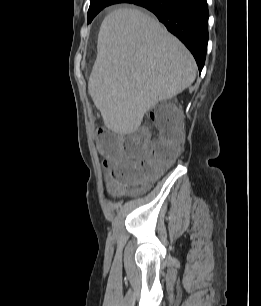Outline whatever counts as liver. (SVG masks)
<instances>
[{
	"mask_svg": "<svg viewBox=\"0 0 261 306\" xmlns=\"http://www.w3.org/2000/svg\"><path fill=\"white\" fill-rule=\"evenodd\" d=\"M196 69L191 53L156 19L117 9L101 24L88 92L108 129L131 134L148 110L188 88Z\"/></svg>",
	"mask_w": 261,
	"mask_h": 306,
	"instance_id": "obj_1",
	"label": "liver"
}]
</instances>
